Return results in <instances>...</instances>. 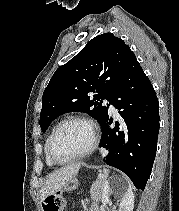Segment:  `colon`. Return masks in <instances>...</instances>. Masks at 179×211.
I'll list each match as a JSON object with an SVG mask.
<instances>
[{
	"mask_svg": "<svg viewBox=\"0 0 179 211\" xmlns=\"http://www.w3.org/2000/svg\"><path fill=\"white\" fill-rule=\"evenodd\" d=\"M42 206L44 211H62L64 199L61 194L57 193L45 198Z\"/></svg>",
	"mask_w": 179,
	"mask_h": 211,
	"instance_id": "1",
	"label": "colon"
}]
</instances>
